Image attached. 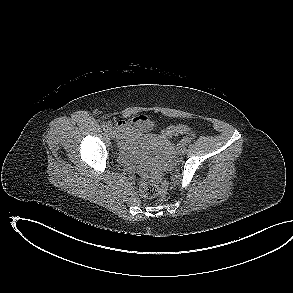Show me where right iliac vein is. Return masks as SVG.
<instances>
[{
    "label": "right iliac vein",
    "mask_w": 293,
    "mask_h": 293,
    "mask_svg": "<svg viewBox=\"0 0 293 293\" xmlns=\"http://www.w3.org/2000/svg\"><path fill=\"white\" fill-rule=\"evenodd\" d=\"M107 132L112 139H115L116 132L112 128H109Z\"/></svg>",
    "instance_id": "right-iliac-vein-1"
}]
</instances>
